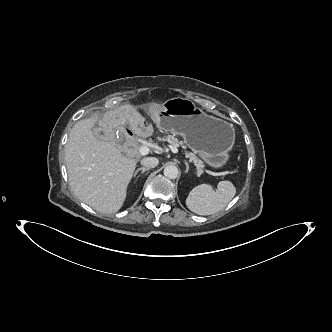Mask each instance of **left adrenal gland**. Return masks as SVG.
Wrapping results in <instances>:
<instances>
[{
    "label": "left adrenal gland",
    "mask_w": 332,
    "mask_h": 332,
    "mask_svg": "<svg viewBox=\"0 0 332 332\" xmlns=\"http://www.w3.org/2000/svg\"><path fill=\"white\" fill-rule=\"evenodd\" d=\"M185 165H186V171H185V172H188V170H189V165H188L187 161H185Z\"/></svg>",
    "instance_id": "obj_1"
}]
</instances>
